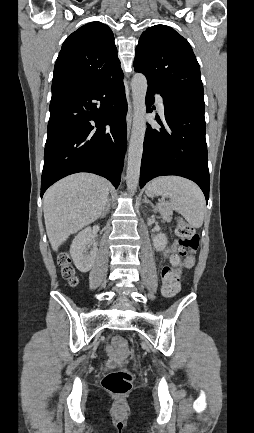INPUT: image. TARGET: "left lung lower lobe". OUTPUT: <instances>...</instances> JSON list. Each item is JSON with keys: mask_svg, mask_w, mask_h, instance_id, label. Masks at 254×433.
I'll use <instances>...</instances> for the list:
<instances>
[{"mask_svg": "<svg viewBox=\"0 0 254 433\" xmlns=\"http://www.w3.org/2000/svg\"><path fill=\"white\" fill-rule=\"evenodd\" d=\"M154 93H161L148 84L147 112H152ZM162 96V95H161ZM165 119L156 121V129L148 125L141 161L140 188L158 176L177 175L188 178L202 189L209 199V170L205 140V106L186 99L162 96Z\"/></svg>", "mask_w": 254, "mask_h": 433, "instance_id": "0a47b994", "label": "left lung lower lobe"}]
</instances>
